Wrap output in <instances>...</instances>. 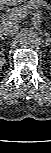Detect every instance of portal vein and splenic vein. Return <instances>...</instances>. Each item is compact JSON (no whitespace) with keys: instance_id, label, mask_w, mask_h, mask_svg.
Wrapping results in <instances>:
<instances>
[{"instance_id":"1","label":"portal vein and splenic vein","mask_w":51,"mask_h":153,"mask_svg":"<svg viewBox=\"0 0 51 153\" xmlns=\"http://www.w3.org/2000/svg\"><path fill=\"white\" fill-rule=\"evenodd\" d=\"M27 14L28 13L26 11L19 10L17 12H11L9 17L14 19H22V18H25Z\"/></svg>"}]
</instances>
